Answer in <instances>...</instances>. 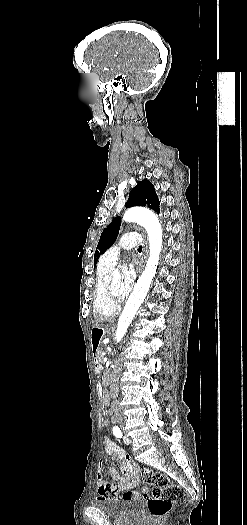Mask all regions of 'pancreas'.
<instances>
[{
    "label": "pancreas",
    "mask_w": 247,
    "mask_h": 525,
    "mask_svg": "<svg viewBox=\"0 0 247 525\" xmlns=\"http://www.w3.org/2000/svg\"><path fill=\"white\" fill-rule=\"evenodd\" d=\"M101 353H105V350L103 348H99L97 350L96 360L102 361L104 356H101Z\"/></svg>",
    "instance_id": "obj_1"
}]
</instances>
